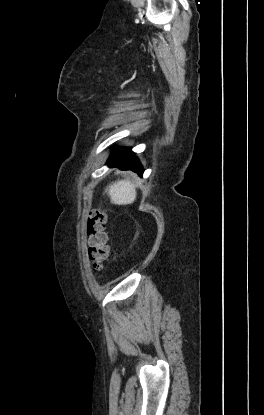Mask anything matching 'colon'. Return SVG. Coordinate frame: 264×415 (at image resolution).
I'll return each instance as SVG.
<instances>
[{
  "mask_svg": "<svg viewBox=\"0 0 264 415\" xmlns=\"http://www.w3.org/2000/svg\"><path fill=\"white\" fill-rule=\"evenodd\" d=\"M108 213L106 211L94 210L91 212L86 223V234L88 236V257L92 268L96 272L103 269V262L108 257L109 246L106 233Z\"/></svg>",
  "mask_w": 264,
  "mask_h": 415,
  "instance_id": "1",
  "label": "colon"
}]
</instances>
